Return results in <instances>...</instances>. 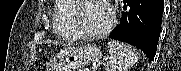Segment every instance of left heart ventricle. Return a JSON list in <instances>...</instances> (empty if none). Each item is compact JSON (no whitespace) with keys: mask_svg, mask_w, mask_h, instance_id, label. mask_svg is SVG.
Returning <instances> with one entry per match:
<instances>
[{"mask_svg":"<svg viewBox=\"0 0 181 71\" xmlns=\"http://www.w3.org/2000/svg\"><path fill=\"white\" fill-rule=\"evenodd\" d=\"M81 11L78 16V26L87 32H99L110 22V12L100 0H79Z\"/></svg>","mask_w":181,"mask_h":71,"instance_id":"obj_1","label":"left heart ventricle"}]
</instances>
